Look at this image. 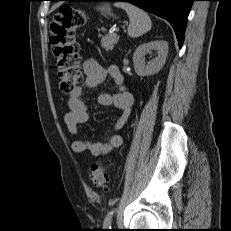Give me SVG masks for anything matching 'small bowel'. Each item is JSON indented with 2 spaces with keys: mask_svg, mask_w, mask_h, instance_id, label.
<instances>
[{
  "mask_svg": "<svg viewBox=\"0 0 231 231\" xmlns=\"http://www.w3.org/2000/svg\"><path fill=\"white\" fill-rule=\"evenodd\" d=\"M85 82L83 87L93 88L104 82L108 77L120 86V91L114 94L102 93L98 96V103L101 106H115L122 113L116 119L113 128L120 130L127 123L132 110L133 95L123 87V76L116 65L103 67L93 58L86 59L83 63ZM82 86L76 87L68 96V112L65 114L64 121L70 134H76L78 127L89 119L88 105L82 98ZM122 137L118 134H109L101 141L77 140L71 145L76 153H89L93 156L108 154L111 150L120 147Z\"/></svg>",
  "mask_w": 231,
  "mask_h": 231,
  "instance_id": "1",
  "label": "small bowel"
}]
</instances>
